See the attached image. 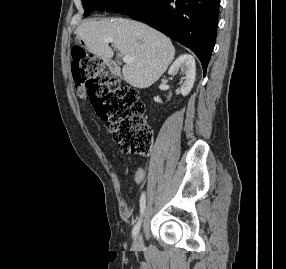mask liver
<instances>
[{
    "label": "liver",
    "mask_w": 286,
    "mask_h": 269,
    "mask_svg": "<svg viewBox=\"0 0 286 269\" xmlns=\"http://www.w3.org/2000/svg\"><path fill=\"white\" fill-rule=\"evenodd\" d=\"M76 34L91 53L105 62L114 55L105 42L112 38L114 50L134 58L122 69L125 81L141 89L155 83L175 56V48L167 36L137 21L123 18L88 20L76 28Z\"/></svg>",
    "instance_id": "1"
}]
</instances>
